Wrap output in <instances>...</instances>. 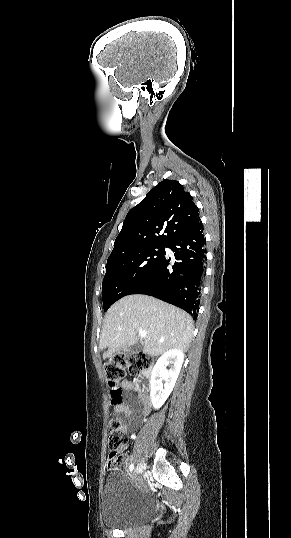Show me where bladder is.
<instances>
[{
  "instance_id": "31cf9c89",
  "label": "bladder",
  "mask_w": 291,
  "mask_h": 538,
  "mask_svg": "<svg viewBox=\"0 0 291 538\" xmlns=\"http://www.w3.org/2000/svg\"><path fill=\"white\" fill-rule=\"evenodd\" d=\"M155 503L122 471L108 474L101 495L102 521L105 526L127 529L150 520Z\"/></svg>"
}]
</instances>
